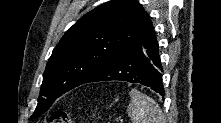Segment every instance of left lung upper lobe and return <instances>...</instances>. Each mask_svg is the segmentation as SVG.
Returning <instances> with one entry per match:
<instances>
[{
    "label": "left lung upper lobe",
    "mask_w": 221,
    "mask_h": 123,
    "mask_svg": "<svg viewBox=\"0 0 221 123\" xmlns=\"http://www.w3.org/2000/svg\"><path fill=\"white\" fill-rule=\"evenodd\" d=\"M151 25L149 15L136 0H111L84 15L53 49L31 118L47 111L56 98L84 84Z\"/></svg>",
    "instance_id": "5c2ea615"
}]
</instances>
